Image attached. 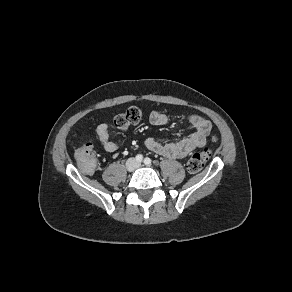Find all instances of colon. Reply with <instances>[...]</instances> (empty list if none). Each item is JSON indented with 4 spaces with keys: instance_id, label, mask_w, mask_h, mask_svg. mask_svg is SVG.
Instances as JSON below:
<instances>
[{
    "instance_id": "colon-1",
    "label": "colon",
    "mask_w": 292,
    "mask_h": 292,
    "mask_svg": "<svg viewBox=\"0 0 292 292\" xmlns=\"http://www.w3.org/2000/svg\"><path fill=\"white\" fill-rule=\"evenodd\" d=\"M142 110L136 106L129 107L124 112L116 115L113 119V126L116 129L124 130L128 127L139 123L142 119ZM211 141L216 143L218 137L212 134ZM211 157V150L204 148L202 151L194 153L188 160L187 168L190 172L200 171ZM76 159L79 167L85 173H92L96 168V157L94 144L88 141L79 147L76 151Z\"/></svg>"
}]
</instances>
